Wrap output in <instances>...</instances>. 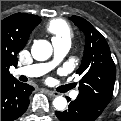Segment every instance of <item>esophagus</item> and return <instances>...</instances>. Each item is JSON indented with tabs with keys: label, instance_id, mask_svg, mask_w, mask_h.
Here are the masks:
<instances>
[{
	"label": "esophagus",
	"instance_id": "obj_1",
	"mask_svg": "<svg viewBox=\"0 0 121 121\" xmlns=\"http://www.w3.org/2000/svg\"><path fill=\"white\" fill-rule=\"evenodd\" d=\"M45 92H46L48 95L53 96V97L58 95V93L53 92V91H50V90H45Z\"/></svg>",
	"mask_w": 121,
	"mask_h": 121
}]
</instances>
